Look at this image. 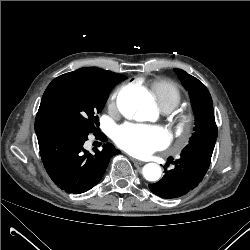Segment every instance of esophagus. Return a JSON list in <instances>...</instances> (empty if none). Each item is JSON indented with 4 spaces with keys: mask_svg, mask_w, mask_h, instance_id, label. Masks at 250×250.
Wrapping results in <instances>:
<instances>
[{
    "mask_svg": "<svg viewBox=\"0 0 250 250\" xmlns=\"http://www.w3.org/2000/svg\"><path fill=\"white\" fill-rule=\"evenodd\" d=\"M131 160H132V162L134 163L135 166H141V165L144 164L143 161L137 160V159H135V158H131Z\"/></svg>",
    "mask_w": 250,
    "mask_h": 250,
    "instance_id": "obj_1",
    "label": "esophagus"
}]
</instances>
